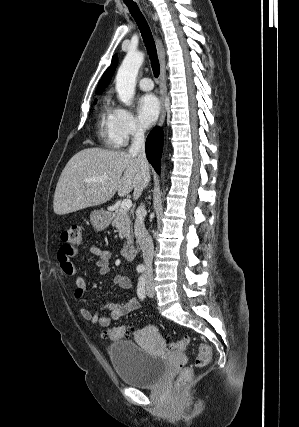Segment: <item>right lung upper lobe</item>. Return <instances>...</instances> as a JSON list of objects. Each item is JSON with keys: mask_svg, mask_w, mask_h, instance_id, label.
I'll use <instances>...</instances> for the list:
<instances>
[{"mask_svg": "<svg viewBox=\"0 0 299 427\" xmlns=\"http://www.w3.org/2000/svg\"><path fill=\"white\" fill-rule=\"evenodd\" d=\"M117 62H118V58L116 55H114L112 58L111 65L104 72V74H103V76H102V78L98 84V88L96 90L97 94H100L104 90L105 86L110 82L111 77H112V75L116 69Z\"/></svg>", "mask_w": 299, "mask_h": 427, "instance_id": "cb5924a9", "label": "right lung upper lobe"}]
</instances>
